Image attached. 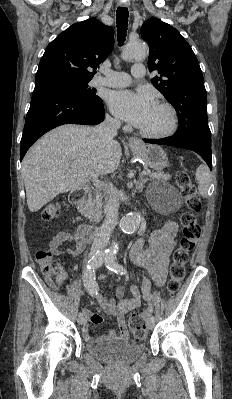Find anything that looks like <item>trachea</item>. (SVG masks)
I'll return each instance as SVG.
<instances>
[{
    "instance_id": "obj_1",
    "label": "trachea",
    "mask_w": 232,
    "mask_h": 399,
    "mask_svg": "<svg viewBox=\"0 0 232 399\" xmlns=\"http://www.w3.org/2000/svg\"><path fill=\"white\" fill-rule=\"evenodd\" d=\"M117 32L119 46L123 45L125 41L127 27H128V9L126 7H118L116 12Z\"/></svg>"
}]
</instances>
